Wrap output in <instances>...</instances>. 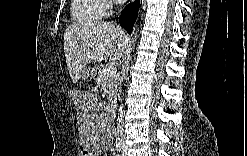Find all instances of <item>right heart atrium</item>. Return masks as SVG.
<instances>
[{"label": "right heart atrium", "instance_id": "obj_1", "mask_svg": "<svg viewBox=\"0 0 247 156\" xmlns=\"http://www.w3.org/2000/svg\"><path fill=\"white\" fill-rule=\"evenodd\" d=\"M106 5H107V6L110 5V2H106Z\"/></svg>", "mask_w": 247, "mask_h": 156}]
</instances>
